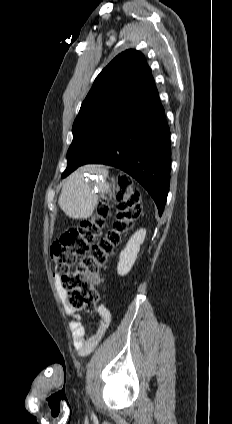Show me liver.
<instances>
[{"instance_id":"obj_1","label":"liver","mask_w":232,"mask_h":424,"mask_svg":"<svg viewBox=\"0 0 232 424\" xmlns=\"http://www.w3.org/2000/svg\"><path fill=\"white\" fill-rule=\"evenodd\" d=\"M83 172L103 175L107 170L101 165H85L78 171L73 172L65 181L59 196L58 204L62 211L73 219H86L92 216L98 204V195L92 187L84 181ZM101 196L110 192V185H99Z\"/></svg>"}]
</instances>
